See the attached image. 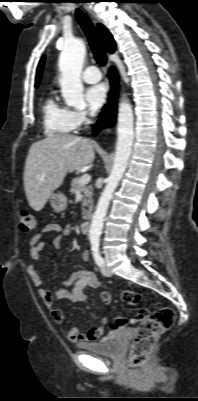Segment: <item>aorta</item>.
<instances>
[{
    "mask_svg": "<svg viewBox=\"0 0 198 401\" xmlns=\"http://www.w3.org/2000/svg\"><path fill=\"white\" fill-rule=\"evenodd\" d=\"M85 53L86 48L83 41L73 40L64 44L59 57L61 93L68 106L82 107L85 104L83 85L80 79ZM133 124L132 106L128 100L122 99L118 111V137L113 167L98 200L89 230V239L92 242L99 240L113 193L128 166L134 140Z\"/></svg>",
    "mask_w": 198,
    "mask_h": 401,
    "instance_id": "762f6f07",
    "label": "aorta"
}]
</instances>
